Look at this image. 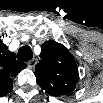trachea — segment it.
I'll list each match as a JSON object with an SVG mask.
<instances>
[{"label":"trachea","mask_w":103,"mask_h":103,"mask_svg":"<svg viewBox=\"0 0 103 103\" xmlns=\"http://www.w3.org/2000/svg\"><path fill=\"white\" fill-rule=\"evenodd\" d=\"M33 57L32 49L29 46H22L17 54V58L20 61L27 62Z\"/></svg>","instance_id":"3493384b"}]
</instances>
